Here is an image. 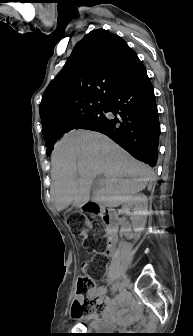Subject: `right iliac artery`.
<instances>
[{"mask_svg": "<svg viewBox=\"0 0 193 336\" xmlns=\"http://www.w3.org/2000/svg\"><path fill=\"white\" fill-rule=\"evenodd\" d=\"M118 288H119V282H117V283H115V284L113 285V290H114V291H116V289H118ZM120 297H121V294H116L115 297H114V299H115V300H118V299H120Z\"/></svg>", "mask_w": 193, "mask_h": 336, "instance_id": "1", "label": "right iliac artery"}]
</instances>
